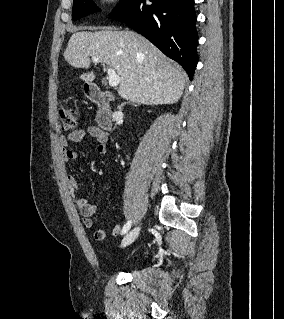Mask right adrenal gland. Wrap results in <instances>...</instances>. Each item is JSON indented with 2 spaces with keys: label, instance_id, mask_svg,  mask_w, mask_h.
I'll return each instance as SVG.
<instances>
[{
  "label": "right adrenal gland",
  "instance_id": "right-adrenal-gland-1",
  "mask_svg": "<svg viewBox=\"0 0 284 319\" xmlns=\"http://www.w3.org/2000/svg\"><path fill=\"white\" fill-rule=\"evenodd\" d=\"M135 105L138 104L137 102H133Z\"/></svg>",
  "mask_w": 284,
  "mask_h": 319
}]
</instances>
